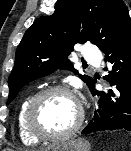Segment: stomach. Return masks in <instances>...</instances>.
<instances>
[{"instance_id": "1", "label": "stomach", "mask_w": 131, "mask_h": 151, "mask_svg": "<svg viewBox=\"0 0 131 151\" xmlns=\"http://www.w3.org/2000/svg\"><path fill=\"white\" fill-rule=\"evenodd\" d=\"M91 145L85 139H69L53 145L44 151H90Z\"/></svg>"}]
</instances>
